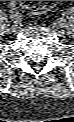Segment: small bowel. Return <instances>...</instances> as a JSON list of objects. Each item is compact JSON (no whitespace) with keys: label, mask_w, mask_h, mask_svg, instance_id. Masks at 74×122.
<instances>
[{"label":"small bowel","mask_w":74,"mask_h":122,"mask_svg":"<svg viewBox=\"0 0 74 122\" xmlns=\"http://www.w3.org/2000/svg\"><path fill=\"white\" fill-rule=\"evenodd\" d=\"M10 4H11V6H14L15 1H11ZM49 9H50V8H49Z\"/></svg>","instance_id":"c3829d8e"}]
</instances>
